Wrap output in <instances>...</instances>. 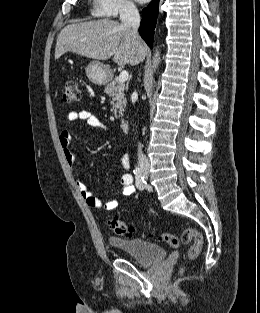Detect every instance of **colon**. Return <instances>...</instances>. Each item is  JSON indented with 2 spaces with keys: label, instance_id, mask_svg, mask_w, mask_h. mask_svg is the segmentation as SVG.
<instances>
[{
  "label": "colon",
  "instance_id": "obj_1",
  "mask_svg": "<svg viewBox=\"0 0 260 313\" xmlns=\"http://www.w3.org/2000/svg\"><path fill=\"white\" fill-rule=\"evenodd\" d=\"M80 100L81 91L78 83L74 80L67 81L64 87L63 101L67 104H73L78 103ZM109 224L117 235L132 237L135 233L133 226L118 218H111ZM158 238L160 241L174 248L178 247L181 243L188 244L193 241V245L187 254V257L190 260H193L200 255L204 245L201 233L194 228L185 229L180 238L169 232L161 233ZM184 270V267L181 268V273L184 272Z\"/></svg>",
  "mask_w": 260,
  "mask_h": 313
}]
</instances>
